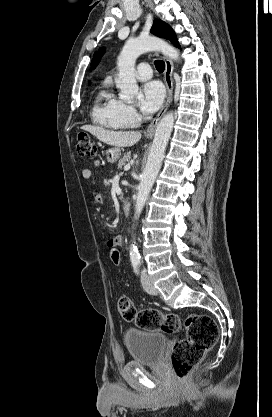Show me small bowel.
Segmentation results:
<instances>
[{"label":"small bowel","instance_id":"c3829d8e","mask_svg":"<svg viewBox=\"0 0 272 417\" xmlns=\"http://www.w3.org/2000/svg\"><path fill=\"white\" fill-rule=\"evenodd\" d=\"M100 166H101V161H100V160H95V161L93 162V167H94V168H98V167H100ZM81 175H82V177H83L84 179H91V178H92V176H93V170H92V169H90V168H84V169L82 170V172H81ZM95 202H96L97 204H100V203H101V197H100V195H99L98 193H95ZM111 243H118V244H120V245H121V243H122V237H121L120 235H117V236L113 237L112 239H110V240L107 242V245H109V244H111Z\"/></svg>","mask_w":272,"mask_h":417}]
</instances>
